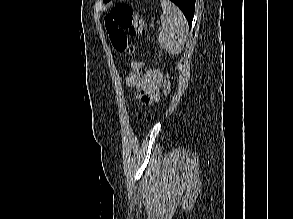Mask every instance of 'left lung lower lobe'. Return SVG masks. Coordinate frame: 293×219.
I'll use <instances>...</instances> for the list:
<instances>
[{
    "instance_id": "1",
    "label": "left lung lower lobe",
    "mask_w": 293,
    "mask_h": 219,
    "mask_svg": "<svg viewBox=\"0 0 293 219\" xmlns=\"http://www.w3.org/2000/svg\"><path fill=\"white\" fill-rule=\"evenodd\" d=\"M175 3L184 13L189 27L192 24L193 16H194V7H195V0H171Z\"/></svg>"
}]
</instances>
